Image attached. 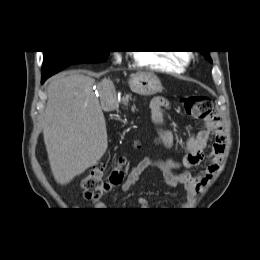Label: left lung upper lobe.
<instances>
[{
    "label": "left lung upper lobe",
    "mask_w": 260,
    "mask_h": 260,
    "mask_svg": "<svg viewBox=\"0 0 260 260\" xmlns=\"http://www.w3.org/2000/svg\"><path fill=\"white\" fill-rule=\"evenodd\" d=\"M209 52H210V51H202V53L205 55L206 59H208V60L211 61Z\"/></svg>",
    "instance_id": "obj_1"
}]
</instances>
